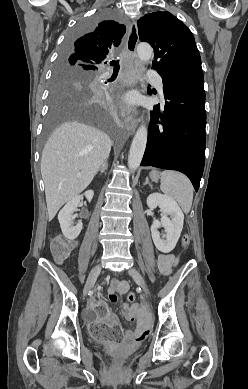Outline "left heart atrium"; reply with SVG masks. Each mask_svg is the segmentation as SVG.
<instances>
[{
    "mask_svg": "<svg viewBox=\"0 0 248 389\" xmlns=\"http://www.w3.org/2000/svg\"><path fill=\"white\" fill-rule=\"evenodd\" d=\"M125 102H126V104H127L128 106L133 105L134 102H135L134 96H133V95H127V96L125 97Z\"/></svg>",
    "mask_w": 248,
    "mask_h": 389,
    "instance_id": "1",
    "label": "left heart atrium"
}]
</instances>
